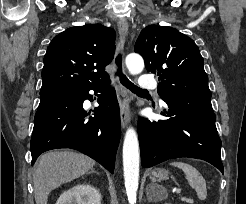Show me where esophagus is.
Returning a JSON list of instances; mask_svg holds the SVG:
<instances>
[{"label":"esophagus","mask_w":246,"mask_h":204,"mask_svg":"<svg viewBox=\"0 0 246 204\" xmlns=\"http://www.w3.org/2000/svg\"><path fill=\"white\" fill-rule=\"evenodd\" d=\"M118 31L122 43L124 44L127 32H128V22L124 18L118 20ZM122 99L120 100V120L122 128H126L131 119L129 99L126 96L125 91H121Z\"/></svg>","instance_id":"obj_1"}]
</instances>
